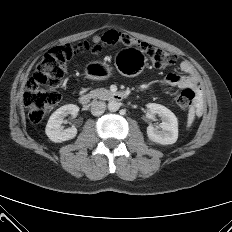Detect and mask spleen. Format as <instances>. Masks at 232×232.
<instances>
[{"label": "spleen", "mask_w": 232, "mask_h": 232, "mask_svg": "<svg viewBox=\"0 0 232 232\" xmlns=\"http://www.w3.org/2000/svg\"><path fill=\"white\" fill-rule=\"evenodd\" d=\"M195 119V108L192 106L189 109L188 113V119H187V127H191L192 123L194 122Z\"/></svg>", "instance_id": "3e777b00"}]
</instances>
